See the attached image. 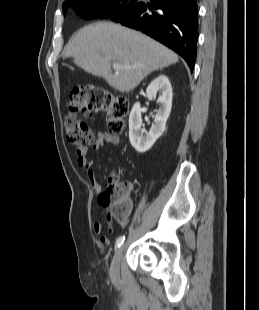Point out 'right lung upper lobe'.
<instances>
[{
	"mask_svg": "<svg viewBox=\"0 0 259 310\" xmlns=\"http://www.w3.org/2000/svg\"><path fill=\"white\" fill-rule=\"evenodd\" d=\"M73 1H82V2H84V3H91V2H95V1H99V0H66V1L63 3V5L66 4V3H68V2H73Z\"/></svg>",
	"mask_w": 259,
	"mask_h": 310,
	"instance_id": "right-lung-upper-lobe-1",
	"label": "right lung upper lobe"
}]
</instances>
